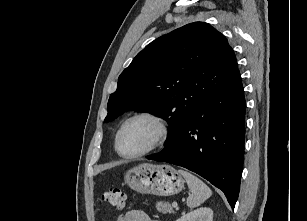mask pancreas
<instances>
[{
    "instance_id": "1",
    "label": "pancreas",
    "mask_w": 307,
    "mask_h": 221,
    "mask_svg": "<svg viewBox=\"0 0 307 221\" xmlns=\"http://www.w3.org/2000/svg\"><path fill=\"white\" fill-rule=\"evenodd\" d=\"M156 209L163 214L174 213L173 208L168 202H157Z\"/></svg>"
}]
</instances>
